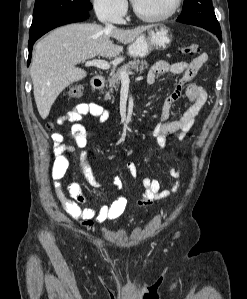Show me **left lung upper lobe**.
Here are the masks:
<instances>
[{
	"label": "left lung upper lobe",
	"mask_w": 247,
	"mask_h": 299,
	"mask_svg": "<svg viewBox=\"0 0 247 299\" xmlns=\"http://www.w3.org/2000/svg\"><path fill=\"white\" fill-rule=\"evenodd\" d=\"M201 20L220 27L212 5V0H184L183 11L177 21Z\"/></svg>",
	"instance_id": "5c2ea615"
}]
</instances>
